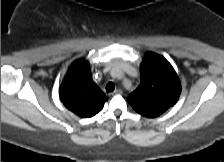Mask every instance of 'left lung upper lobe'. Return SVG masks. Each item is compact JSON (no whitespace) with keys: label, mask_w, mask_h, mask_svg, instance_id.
I'll return each mask as SVG.
<instances>
[{"label":"left lung upper lobe","mask_w":224,"mask_h":162,"mask_svg":"<svg viewBox=\"0 0 224 162\" xmlns=\"http://www.w3.org/2000/svg\"><path fill=\"white\" fill-rule=\"evenodd\" d=\"M140 78V85L127 101L142 116L157 117L177 102L181 85L174 68L164 57L147 52L140 66Z\"/></svg>","instance_id":"1"}]
</instances>
